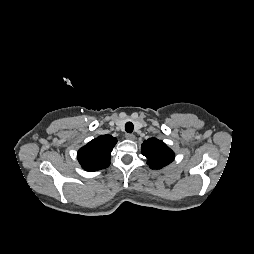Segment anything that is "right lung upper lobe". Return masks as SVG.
I'll return each instance as SVG.
<instances>
[{"mask_svg":"<svg viewBox=\"0 0 254 254\" xmlns=\"http://www.w3.org/2000/svg\"><path fill=\"white\" fill-rule=\"evenodd\" d=\"M117 139L111 135H101L91 140L78 151V161L86 171H97L110 164L111 151Z\"/></svg>","mask_w":254,"mask_h":254,"instance_id":"right-lung-upper-lobe-1","label":"right lung upper lobe"}]
</instances>
